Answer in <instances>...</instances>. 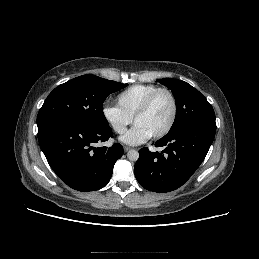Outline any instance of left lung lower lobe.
<instances>
[{
  "label": "left lung lower lobe",
  "instance_id": "obj_1",
  "mask_svg": "<svg viewBox=\"0 0 259 259\" xmlns=\"http://www.w3.org/2000/svg\"><path fill=\"white\" fill-rule=\"evenodd\" d=\"M216 128L192 124L169 131L155 143L162 152L139 150L134 173L139 184L154 192H169L182 186L203 162Z\"/></svg>",
  "mask_w": 259,
  "mask_h": 259
}]
</instances>
